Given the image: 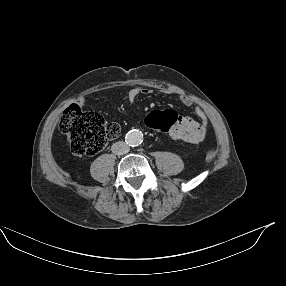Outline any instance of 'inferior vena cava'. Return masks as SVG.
I'll return each instance as SVG.
<instances>
[{
  "mask_svg": "<svg viewBox=\"0 0 286 286\" xmlns=\"http://www.w3.org/2000/svg\"><path fill=\"white\" fill-rule=\"evenodd\" d=\"M111 150L116 155H123L128 153L130 149L125 142L118 141L112 145Z\"/></svg>",
  "mask_w": 286,
  "mask_h": 286,
  "instance_id": "602c4592",
  "label": "inferior vena cava"
}]
</instances>
